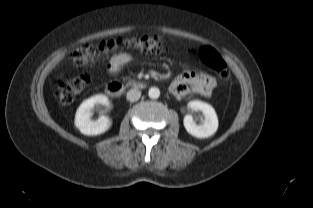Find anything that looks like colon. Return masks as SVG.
<instances>
[{
  "instance_id": "5ec220e1",
  "label": "colon",
  "mask_w": 313,
  "mask_h": 208,
  "mask_svg": "<svg viewBox=\"0 0 313 208\" xmlns=\"http://www.w3.org/2000/svg\"><path fill=\"white\" fill-rule=\"evenodd\" d=\"M135 50L141 53L164 54L171 51L170 45L160 37L144 36L138 39H113L102 42L98 46L82 44L70 53L74 65H84L100 57H107L115 51ZM198 56L202 62L217 72L220 79L229 81L230 74L227 65L218 52L210 47L199 50ZM87 76L70 77L58 80L55 84L57 101L61 106H67L76 100L88 83Z\"/></svg>"
}]
</instances>
